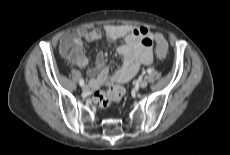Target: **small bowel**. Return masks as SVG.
Instances as JSON below:
<instances>
[{"mask_svg": "<svg viewBox=\"0 0 230 155\" xmlns=\"http://www.w3.org/2000/svg\"><path fill=\"white\" fill-rule=\"evenodd\" d=\"M109 41L124 39L117 51L123 57L121 67L109 75V65L105 61L103 53H99L94 65L88 70L91 77L89 85L92 90L102 86H114L130 81L141 69L153 60V42L160 33H152L142 26L107 25L104 29ZM78 37V53L71 56L70 60L78 67L88 64V58L83 54V42L94 43L101 39L102 32L98 28L77 29L73 32ZM67 36V35H66Z\"/></svg>", "mask_w": 230, "mask_h": 155, "instance_id": "c3829d8e", "label": "small bowel"}]
</instances>
